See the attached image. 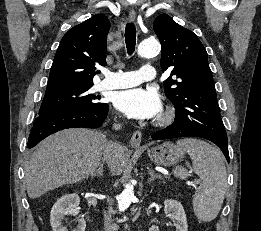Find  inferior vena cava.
Wrapping results in <instances>:
<instances>
[{
    "instance_id": "obj_1",
    "label": "inferior vena cava",
    "mask_w": 261,
    "mask_h": 231,
    "mask_svg": "<svg viewBox=\"0 0 261 231\" xmlns=\"http://www.w3.org/2000/svg\"><path fill=\"white\" fill-rule=\"evenodd\" d=\"M115 130L120 128V125H114ZM119 144L115 142H108L105 151H104V159L108 161L111 157H114L118 151ZM104 231H115V228L112 224L111 215L105 214L104 215Z\"/></svg>"
}]
</instances>
